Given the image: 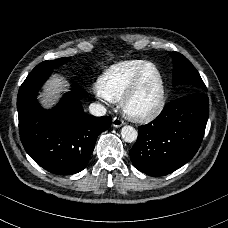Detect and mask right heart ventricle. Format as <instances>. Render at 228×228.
I'll return each mask as SVG.
<instances>
[{"mask_svg": "<svg viewBox=\"0 0 228 228\" xmlns=\"http://www.w3.org/2000/svg\"><path fill=\"white\" fill-rule=\"evenodd\" d=\"M152 64L146 60L130 59L109 66L98 80V92L110 102H119L131 87L139 72Z\"/></svg>", "mask_w": 228, "mask_h": 228, "instance_id": "right-heart-ventricle-1", "label": "right heart ventricle"}]
</instances>
